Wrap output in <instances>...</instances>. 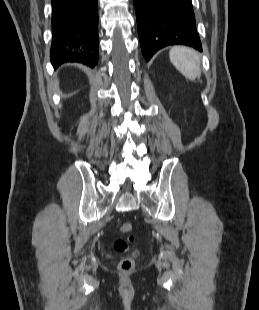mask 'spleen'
Returning a JSON list of instances; mask_svg holds the SVG:
<instances>
[{
	"instance_id": "spleen-1",
	"label": "spleen",
	"mask_w": 259,
	"mask_h": 310,
	"mask_svg": "<svg viewBox=\"0 0 259 310\" xmlns=\"http://www.w3.org/2000/svg\"><path fill=\"white\" fill-rule=\"evenodd\" d=\"M169 58L176 69L186 78L194 81L200 77V56L189 47H173L169 52Z\"/></svg>"
}]
</instances>
